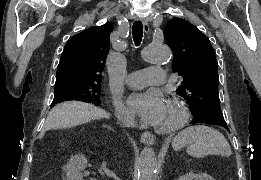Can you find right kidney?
Instances as JSON below:
<instances>
[{
  "mask_svg": "<svg viewBox=\"0 0 261 180\" xmlns=\"http://www.w3.org/2000/svg\"><path fill=\"white\" fill-rule=\"evenodd\" d=\"M87 166V160L84 156H73L71 158L69 164L64 166V170L66 172V176L68 180H70V176H72L73 180H77L80 172H83Z\"/></svg>",
  "mask_w": 261,
  "mask_h": 180,
  "instance_id": "ca27d5eb",
  "label": "right kidney"
}]
</instances>
